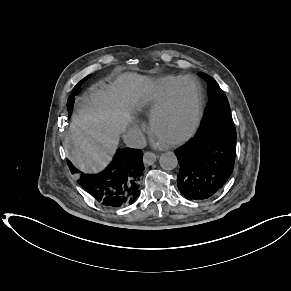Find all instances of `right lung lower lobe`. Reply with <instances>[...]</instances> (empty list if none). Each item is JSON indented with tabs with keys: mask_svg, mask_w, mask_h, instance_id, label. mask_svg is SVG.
Masks as SVG:
<instances>
[{
	"mask_svg": "<svg viewBox=\"0 0 291 291\" xmlns=\"http://www.w3.org/2000/svg\"><path fill=\"white\" fill-rule=\"evenodd\" d=\"M143 154L139 149H118L112 162L99 174L80 173L68 161L73 174L79 173L78 183L97 202L106 207L131 205L140 194V178L144 171Z\"/></svg>",
	"mask_w": 291,
	"mask_h": 291,
	"instance_id": "obj_1",
	"label": "right lung lower lobe"
}]
</instances>
